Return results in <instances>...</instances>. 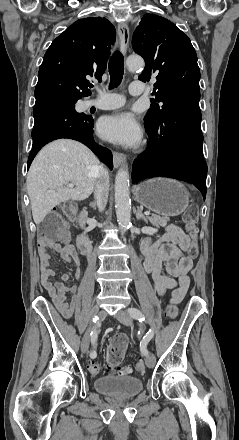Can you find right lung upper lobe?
<instances>
[{
  "label": "right lung upper lobe",
  "mask_w": 239,
  "mask_h": 440,
  "mask_svg": "<svg viewBox=\"0 0 239 440\" xmlns=\"http://www.w3.org/2000/svg\"><path fill=\"white\" fill-rule=\"evenodd\" d=\"M115 36V28L106 18L88 17L69 26L44 55L38 72L36 100L89 96L86 76L101 80Z\"/></svg>",
  "instance_id": "obj_1"
}]
</instances>
